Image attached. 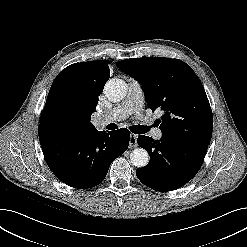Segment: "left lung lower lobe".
I'll return each mask as SVG.
<instances>
[{
    "label": "left lung lower lobe",
    "mask_w": 247,
    "mask_h": 247,
    "mask_svg": "<svg viewBox=\"0 0 247 247\" xmlns=\"http://www.w3.org/2000/svg\"><path fill=\"white\" fill-rule=\"evenodd\" d=\"M137 142L149 152L150 161L136 175L156 191L176 190L189 182L201 168L209 145L167 135L156 141L140 135Z\"/></svg>",
    "instance_id": "obj_1"
}]
</instances>
